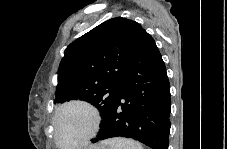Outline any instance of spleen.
I'll return each instance as SVG.
<instances>
[{"label": "spleen", "mask_w": 227, "mask_h": 149, "mask_svg": "<svg viewBox=\"0 0 227 149\" xmlns=\"http://www.w3.org/2000/svg\"><path fill=\"white\" fill-rule=\"evenodd\" d=\"M103 144L108 145L109 149H143L137 141L122 137L106 140Z\"/></svg>", "instance_id": "spleen-1"}]
</instances>
